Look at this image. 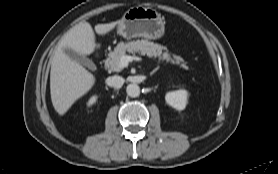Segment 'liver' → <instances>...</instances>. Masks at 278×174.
<instances>
[{
	"label": "liver",
	"mask_w": 278,
	"mask_h": 174,
	"mask_svg": "<svg viewBox=\"0 0 278 174\" xmlns=\"http://www.w3.org/2000/svg\"><path fill=\"white\" fill-rule=\"evenodd\" d=\"M119 23L120 20L98 24L95 31L105 35ZM95 47L96 37L88 22H80L72 27L58 43L51 62L50 94L53 107L59 115H64L95 83L94 75L65 54L63 49L69 48L85 56L92 54Z\"/></svg>",
	"instance_id": "obj_1"
}]
</instances>
